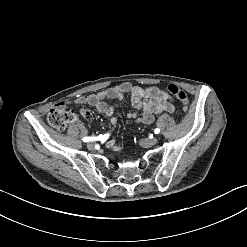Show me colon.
Returning <instances> with one entry per match:
<instances>
[{
  "label": "colon",
  "instance_id": "colon-1",
  "mask_svg": "<svg viewBox=\"0 0 247 247\" xmlns=\"http://www.w3.org/2000/svg\"><path fill=\"white\" fill-rule=\"evenodd\" d=\"M167 89L170 92V94L176 97L183 104L184 108L187 109L190 107V99L185 90H183L176 84H169ZM72 114L73 110L61 111L57 109H52L48 113L47 120L53 128L61 130L64 129L68 124L72 123Z\"/></svg>",
  "mask_w": 247,
  "mask_h": 247
}]
</instances>
